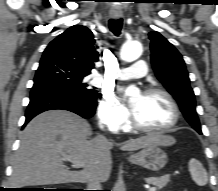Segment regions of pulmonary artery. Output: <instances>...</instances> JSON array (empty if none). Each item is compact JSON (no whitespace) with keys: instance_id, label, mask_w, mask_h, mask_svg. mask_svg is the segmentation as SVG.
I'll return each mask as SVG.
<instances>
[{"instance_id":"pulmonary-artery-1","label":"pulmonary artery","mask_w":218,"mask_h":191,"mask_svg":"<svg viewBox=\"0 0 218 191\" xmlns=\"http://www.w3.org/2000/svg\"><path fill=\"white\" fill-rule=\"evenodd\" d=\"M147 73V64L144 60H138L136 63L127 68H121L116 77L121 80L141 78Z\"/></svg>"}]
</instances>
